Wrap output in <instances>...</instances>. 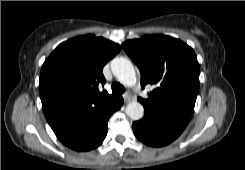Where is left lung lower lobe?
I'll list each match as a JSON object with an SVG mask.
<instances>
[{"label": "left lung lower lobe", "mask_w": 245, "mask_h": 170, "mask_svg": "<svg viewBox=\"0 0 245 170\" xmlns=\"http://www.w3.org/2000/svg\"><path fill=\"white\" fill-rule=\"evenodd\" d=\"M144 110V117L133 123V132L141 142L153 147L173 142L190 121L185 117L150 106H144Z\"/></svg>", "instance_id": "0a47b994"}]
</instances>
